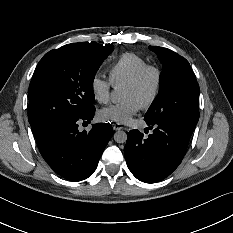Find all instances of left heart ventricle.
Instances as JSON below:
<instances>
[{
  "instance_id": "b2bd125f",
  "label": "left heart ventricle",
  "mask_w": 233,
  "mask_h": 233,
  "mask_svg": "<svg viewBox=\"0 0 233 233\" xmlns=\"http://www.w3.org/2000/svg\"><path fill=\"white\" fill-rule=\"evenodd\" d=\"M155 81V74L148 72L137 87L130 88L124 86L122 100L133 98L143 105L152 95Z\"/></svg>"
}]
</instances>
